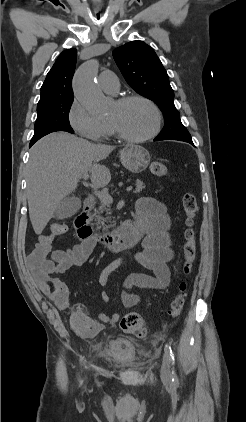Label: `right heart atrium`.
<instances>
[{"mask_svg":"<svg viewBox=\"0 0 246 422\" xmlns=\"http://www.w3.org/2000/svg\"><path fill=\"white\" fill-rule=\"evenodd\" d=\"M68 120L73 130L90 141H100L110 133V125L93 117L78 101L74 100L68 113Z\"/></svg>","mask_w":246,"mask_h":422,"instance_id":"1","label":"right heart atrium"}]
</instances>
